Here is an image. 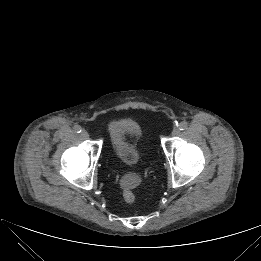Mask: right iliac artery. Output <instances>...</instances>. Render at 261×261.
I'll return each instance as SVG.
<instances>
[{
  "label": "right iliac artery",
  "mask_w": 261,
  "mask_h": 261,
  "mask_svg": "<svg viewBox=\"0 0 261 261\" xmlns=\"http://www.w3.org/2000/svg\"><path fill=\"white\" fill-rule=\"evenodd\" d=\"M74 131H75L76 133H80V132L82 131L81 126H80V125H75V126H74Z\"/></svg>",
  "instance_id": "obj_1"
}]
</instances>
